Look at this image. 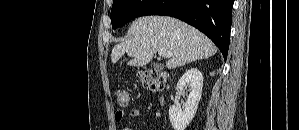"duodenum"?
<instances>
[{"mask_svg": "<svg viewBox=\"0 0 299 130\" xmlns=\"http://www.w3.org/2000/svg\"><path fill=\"white\" fill-rule=\"evenodd\" d=\"M163 101H164V100H163V99H161V102H162V103H163Z\"/></svg>", "mask_w": 299, "mask_h": 130, "instance_id": "obj_1", "label": "duodenum"}]
</instances>
